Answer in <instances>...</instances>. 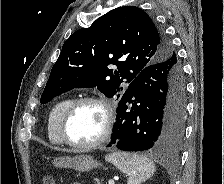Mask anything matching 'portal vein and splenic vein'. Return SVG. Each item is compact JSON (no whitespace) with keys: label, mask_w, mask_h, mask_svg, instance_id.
I'll return each mask as SVG.
<instances>
[{"label":"portal vein and splenic vein","mask_w":224,"mask_h":184,"mask_svg":"<svg viewBox=\"0 0 224 184\" xmlns=\"http://www.w3.org/2000/svg\"><path fill=\"white\" fill-rule=\"evenodd\" d=\"M108 184H115V182H114V180L111 179L108 181Z\"/></svg>","instance_id":"18ae733b"}]
</instances>
